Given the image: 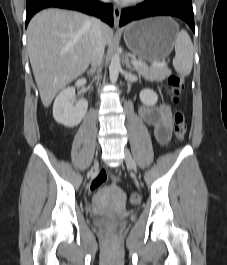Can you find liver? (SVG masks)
Wrapping results in <instances>:
<instances>
[{"mask_svg": "<svg viewBox=\"0 0 227 265\" xmlns=\"http://www.w3.org/2000/svg\"><path fill=\"white\" fill-rule=\"evenodd\" d=\"M101 30L105 44H109L112 29L102 23ZM90 31L91 18L75 11L46 9L31 19L27 50L44 107L88 68Z\"/></svg>", "mask_w": 227, "mask_h": 265, "instance_id": "6515ba94", "label": "liver"}]
</instances>
